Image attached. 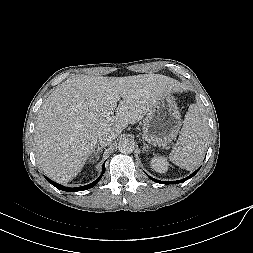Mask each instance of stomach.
I'll list each match as a JSON object with an SVG mask.
<instances>
[{
	"mask_svg": "<svg viewBox=\"0 0 253 253\" xmlns=\"http://www.w3.org/2000/svg\"><path fill=\"white\" fill-rule=\"evenodd\" d=\"M182 125L181 113L171 92L154 104L143 120L142 136L151 145L163 147L178 135Z\"/></svg>",
	"mask_w": 253,
	"mask_h": 253,
	"instance_id": "obj_1",
	"label": "stomach"
}]
</instances>
